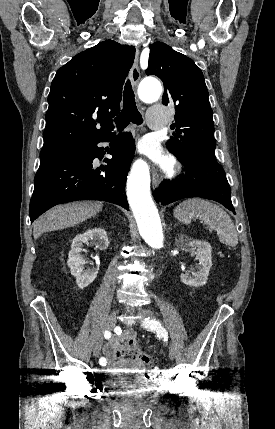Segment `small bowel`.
<instances>
[{
	"mask_svg": "<svg viewBox=\"0 0 275 429\" xmlns=\"http://www.w3.org/2000/svg\"><path fill=\"white\" fill-rule=\"evenodd\" d=\"M137 341L133 330L127 329L120 336L108 340L103 346V354L106 359V367L110 371H139L142 364L132 358H124V354L130 350V342Z\"/></svg>",
	"mask_w": 275,
	"mask_h": 429,
	"instance_id": "small-bowel-1",
	"label": "small bowel"
}]
</instances>
